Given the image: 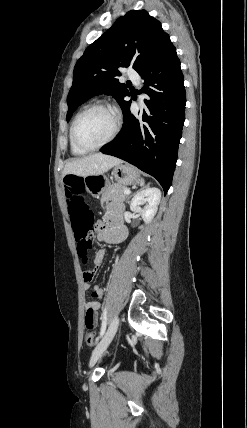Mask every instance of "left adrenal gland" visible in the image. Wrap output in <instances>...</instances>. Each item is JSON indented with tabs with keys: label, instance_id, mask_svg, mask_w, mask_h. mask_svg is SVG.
Segmentation results:
<instances>
[{
	"label": "left adrenal gland",
	"instance_id": "a2214340",
	"mask_svg": "<svg viewBox=\"0 0 247 428\" xmlns=\"http://www.w3.org/2000/svg\"><path fill=\"white\" fill-rule=\"evenodd\" d=\"M131 197V195L129 196V197H127V201H126V203L128 202V200H129V198Z\"/></svg>",
	"mask_w": 247,
	"mask_h": 428
}]
</instances>
